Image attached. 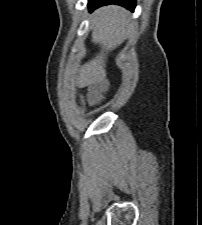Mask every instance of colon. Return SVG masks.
<instances>
[{
    "label": "colon",
    "mask_w": 202,
    "mask_h": 225,
    "mask_svg": "<svg viewBox=\"0 0 202 225\" xmlns=\"http://www.w3.org/2000/svg\"><path fill=\"white\" fill-rule=\"evenodd\" d=\"M100 98H101V93L99 91H95L94 99L97 101V100H100Z\"/></svg>",
    "instance_id": "5ec220e1"
}]
</instances>
